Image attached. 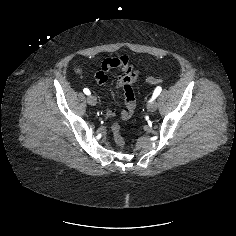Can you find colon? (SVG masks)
I'll use <instances>...</instances> for the list:
<instances>
[{
  "label": "colon",
  "mask_w": 236,
  "mask_h": 236,
  "mask_svg": "<svg viewBox=\"0 0 236 236\" xmlns=\"http://www.w3.org/2000/svg\"><path fill=\"white\" fill-rule=\"evenodd\" d=\"M161 81H162V78H160V77H149L146 80V82L151 85L158 84ZM129 105L131 106V103H129ZM111 131H112L115 143L118 146L123 147L125 145V140L122 135L121 126L117 123L113 124L111 127Z\"/></svg>",
  "instance_id": "obj_1"
}]
</instances>
